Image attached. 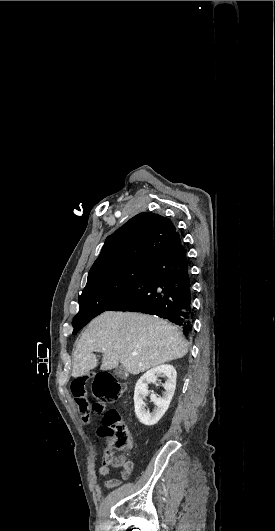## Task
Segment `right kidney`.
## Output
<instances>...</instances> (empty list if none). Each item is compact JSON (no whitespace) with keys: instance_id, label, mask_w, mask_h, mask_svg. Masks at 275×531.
<instances>
[{"instance_id":"obj_1","label":"right kidney","mask_w":275,"mask_h":531,"mask_svg":"<svg viewBox=\"0 0 275 531\" xmlns=\"http://www.w3.org/2000/svg\"><path fill=\"white\" fill-rule=\"evenodd\" d=\"M157 377H167V381H165L163 385L165 393H163V397L150 395L152 403L156 405V409H154L153 413H150V411H146L143 399L148 395L147 389L149 383H156V381H158ZM176 377L177 373L173 365H160V367L150 369V371H147V373H144V375L138 379L134 391V407L135 415L142 425L152 427V425H156L161 417H163L164 413H166L175 393Z\"/></svg>"}]
</instances>
